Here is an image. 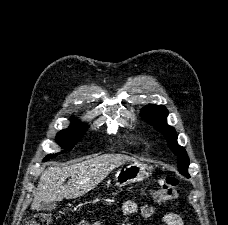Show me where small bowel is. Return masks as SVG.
<instances>
[{"label":"small bowel","mask_w":228,"mask_h":225,"mask_svg":"<svg viewBox=\"0 0 228 225\" xmlns=\"http://www.w3.org/2000/svg\"><path fill=\"white\" fill-rule=\"evenodd\" d=\"M124 213L126 215H133L138 212V205L133 200H128L123 206ZM155 208L151 203H146L141 209V216L145 219L150 218L154 214ZM163 225H183L182 217L174 212H167L162 215L160 219ZM78 225H89L87 221H81ZM93 225H101L100 221H95ZM125 225H131V223H126Z\"/></svg>","instance_id":"c3829d8e"}]
</instances>
